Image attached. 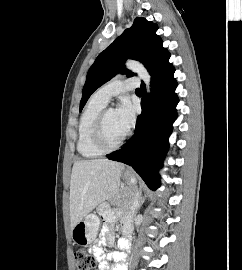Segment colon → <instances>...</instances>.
Returning <instances> with one entry per match:
<instances>
[{"instance_id": "colon-1", "label": "colon", "mask_w": 242, "mask_h": 270, "mask_svg": "<svg viewBox=\"0 0 242 270\" xmlns=\"http://www.w3.org/2000/svg\"><path fill=\"white\" fill-rule=\"evenodd\" d=\"M74 262L76 270H93L96 265L94 255L84 250H76L74 253Z\"/></svg>"}]
</instances>
